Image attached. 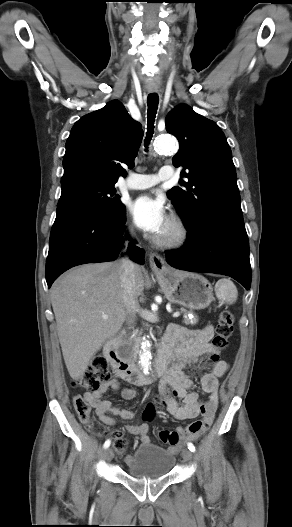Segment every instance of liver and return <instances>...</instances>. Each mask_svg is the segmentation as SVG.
Masks as SVG:
<instances>
[{
  "mask_svg": "<svg viewBox=\"0 0 292 527\" xmlns=\"http://www.w3.org/2000/svg\"><path fill=\"white\" fill-rule=\"evenodd\" d=\"M135 274L138 297L144 290L143 270L138 265ZM121 275V261L86 264L64 274L52 286L57 333L74 380L84 376L94 355L126 319Z\"/></svg>",
  "mask_w": 292,
  "mask_h": 527,
  "instance_id": "liver-1",
  "label": "liver"
}]
</instances>
